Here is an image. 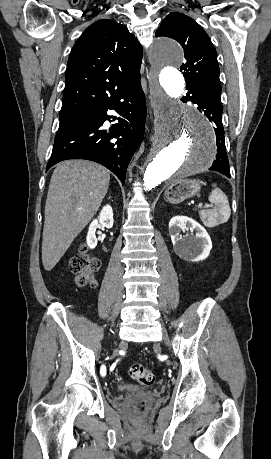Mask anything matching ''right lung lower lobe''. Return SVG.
Segmentation results:
<instances>
[{
  "label": "right lung lower lobe",
  "instance_id": "obj_1",
  "mask_svg": "<svg viewBox=\"0 0 271 459\" xmlns=\"http://www.w3.org/2000/svg\"><path fill=\"white\" fill-rule=\"evenodd\" d=\"M93 108L60 120L46 171L63 160L86 159L107 167L124 185L127 166L144 134L146 101L140 80L99 100ZM108 110L122 116L109 132L102 128L110 119Z\"/></svg>",
  "mask_w": 271,
  "mask_h": 459
}]
</instances>
